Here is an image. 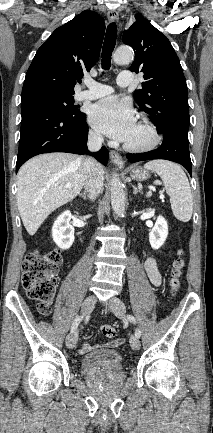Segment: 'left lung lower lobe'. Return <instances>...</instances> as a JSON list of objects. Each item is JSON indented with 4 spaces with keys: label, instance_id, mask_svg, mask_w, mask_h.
Segmentation results:
<instances>
[{
    "label": "left lung lower lobe",
    "instance_id": "obj_1",
    "mask_svg": "<svg viewBox=\"0 0 213 433\" xmlns=\"http://www.w3.org/2000/svg\"><path fill=\"white\" fill-rule=\"evenodd\" d=\"M162 133L163 142L159 148L145 153L129 154L127 155L128 161L135 163L152 159H166L183 165L191 175L192 163L189 154L188 133L176 128L165 129Z\"/></svg>",
    "mask_w": 213,
    "mask_h": 433
}]
</instances>
